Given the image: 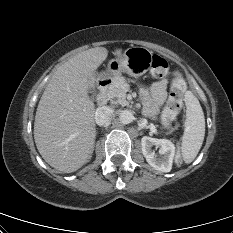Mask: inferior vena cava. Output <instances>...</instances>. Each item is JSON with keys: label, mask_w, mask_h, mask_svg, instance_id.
<instances>
[{"label": "inferior vena cava", "mask_w": 233, "mask_h": 233, "mask_svg": "<svg viewBox=\"0 0 233 233\" xmlns=\"http://www.w3.org/2000/svg\"><path fill=\"white\" fill-rule=\"evenodd\" d=\"M112 115L113 109L109 106L99 107L95 112V122L99 126L107 125L111 121Z\"/></svg>", "instance_id": "obj_1"}]
</instances>
